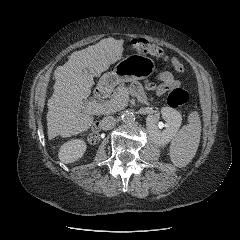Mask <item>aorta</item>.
Instances as JSON below:
<instances>
[{"label": "aorta", "mask_w": 240, "mask_h": 240, "mask_svg": "<svg viewBox=\"0 0 240 240\" xmlns=\"http://www.w3.org/2000/svg\"><path fill=\"white\" fill-rule=\"evenodd\" d=\"M121 118L123 120V122L130 124L133 123L135 121V115L131 112V111H123L121 114Z\"/></svg>", "instance_id": "1"}]
</instances>
